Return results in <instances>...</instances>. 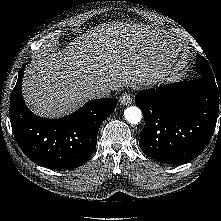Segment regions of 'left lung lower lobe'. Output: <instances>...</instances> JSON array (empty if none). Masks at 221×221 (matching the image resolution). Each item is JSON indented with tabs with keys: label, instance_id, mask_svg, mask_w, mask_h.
Wrapping results in <instances>:
<instances>
[{
	"label": "left lung lower lobe",
	"instance_id": "0a47b994",
	"mask_svg": "<svg viewBox=\"0 0 221 221\" xmlns=\"http://www.w3.org/2000/svg\"><path fill=\"white\" fill-rule=\"evenodd\" d=\"M135 103L145 120L139 140L143 152L158 162L183 164L197 157L212 138L221 85L204 77L182 81L140 91Z\"/></svg>",
	"mask_w": 221,
	"mask_h": 221
}]
</instances>
